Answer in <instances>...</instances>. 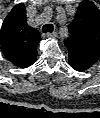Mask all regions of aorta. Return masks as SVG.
I'll return each mask as SVG.
<instances>
[{
    "label": "aorta",
    "mask_w": 100,
    "mask_h": 118,
    "mask_svg": "<svg viewBox=\"0 0 100 118\" xmlns=\"http://www.w3.org/2000/svg\"><path fill=\"white\" fill-rule=\"evenodd\" d=\"M64 36L65 37H68V32L66 30L62 33V36L61 37L63 38Z\"/></svg>",
    "instance_id": "aorta-1"
}]
</instances>
